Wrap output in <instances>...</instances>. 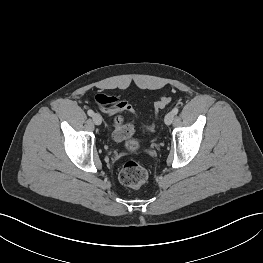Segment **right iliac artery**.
<instances>
[{
    "instance_id": "1",
    "label": "right iliac artery",
    "mask_w": 263,
    "mask_h": 263,
    "mask_svg": "<svg viewBox=\"0 0 263 263\" xmlns=\"http://www.w3.org/2000/svg\"><path fill=\"white\" fill-rule=\"evenodd\" d=\"M87 113H88L89 116H92L94 114L93 110H88Z\"/></svg>"
}]
</instances>
